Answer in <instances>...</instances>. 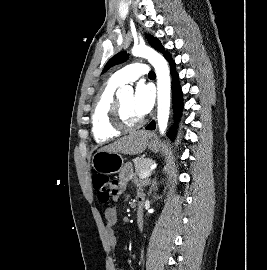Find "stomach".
<instances>
[{
  "instance_id": "1",
  "label": "stomach",
  "mask_w": 267,
  "mask_h": 270,
  "mask_svg": "<svg viewBox=\"0 0 267 270\" xmlns=\"http://www.w3.org/2000/svg\"><path fill=\"white\" fill-rule=\"evenodd\" d=\"M148 146L151 150H157V143L151 139V135L148 139ZM124 165V158L117 152H109L99 150L94 154L92 158L93 168L102 174H114L121 170Z\"/></svg>"
}]
</instances>
